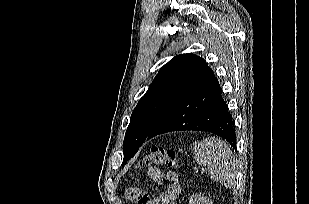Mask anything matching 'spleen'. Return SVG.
Returning <instances> with one entry per match:
<instances>
[{
    "label": "spleen",
    "mask_w": 309,
    "mask_h": 204,
    "mask_svg": "<svg viewBox=\"0 0 309 204\" xmlns=\"http://www.w3.org/2000/svg\"><path fill=\"white\" fill-rule=\"evenodd\" d=\"M193 157L207 167L210 178L226 188H232L237 175L236 160L230 147L217 138H205L193 143Z\"/></svg>",
    "instance_id": "1"
}]
</instances>
